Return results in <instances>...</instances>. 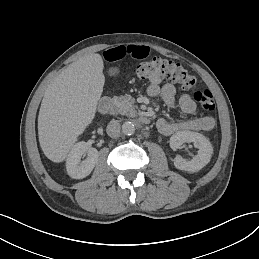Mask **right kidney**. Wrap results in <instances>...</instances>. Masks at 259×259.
Wrapping results in <instances>:
<instances>
[{"mask_svg": "<svg viewBox=\"0 0 259 259\" xmlns=\"http://www.w3.org/2000/svg\"><path fill=\"white\" fill-rule=\"evenodd\" d=\"M82 156L86 159L81 162ZM99 159L98 150L86 142L78 143L67 159L68 174L75 179H83L90 175Z\"/></svg>", "mask_w": 259, "mask_h": 259, "instance_id": "ca27d5eb", "label": "right kidney"}]
</instances>
